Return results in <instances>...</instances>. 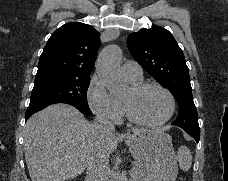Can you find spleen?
Returning <instances> with one entry per match:
<instances>
[{
  "instance_id": "3e777b00",
  "label": "spleen",
  "mask_w": 228,
  "mask_h": 181,
  "mask_svg": "<svg viewBox=\"0 0 228 181\" xmlns=\"http://www.w3.org/2000/svg\"><path fill=\"white\" fill-rule=\"evenodd\" d=\"M176 159L182 171H189L192 165V155L187 147H179Z\"/></svg>"
}]
</instances>
